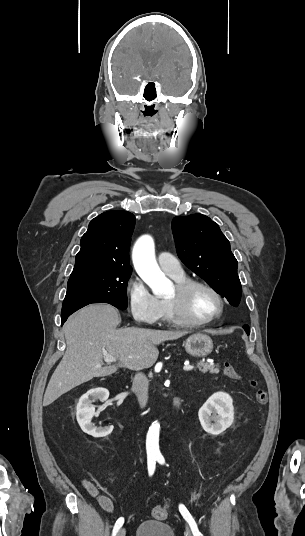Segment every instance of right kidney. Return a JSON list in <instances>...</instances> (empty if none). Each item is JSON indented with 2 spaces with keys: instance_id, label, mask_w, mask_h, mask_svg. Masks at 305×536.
Masks as SVG:
<instances>
[{
  "instance_id": "right-kidney-1",
  "label": "right kidney",
  "mask_w": 305,
  "mask_h": 536,
  "mask_svg": "<svg viewBox=\"0 0 305 536\" xmlns=\"http://www.w3.org/2000/svg\"><path fill=\"white\" fill-rule=\"evenodd\" d=\"M89 392H92L91 396H93V398H98L101 402L107 400L109 396V392L108 390H105V388H94V390H89ZM89 392L84 394L79 400L77 406L78 424L85 434H89V436H93V438H103V436H108L111 430L96 428V426L92 424L91 418L94 416V406H92L91 400L88 398Z\"/></svg>"
}]
</instances>
